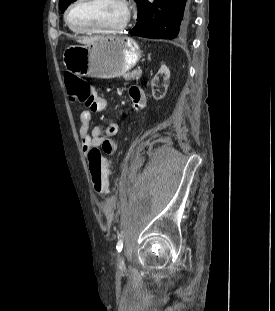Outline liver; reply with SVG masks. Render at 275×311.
Wrapping results in <instances>:
<instances>
[{
  "label": "liver",
  "instance_id": "liver-1",
  "mask_svg": "<svg viewBox=\"0 0 275 311\" xmlns=\"http://www.w3.org/2000/svg\"><path fill=\"white\" fill-rule=\"evenodd\" d=\"M100 37H93V38H90V39H85V40H82L81 42L85 43V44H88V43H91L97 39H99Z\"/></svg>",
  "mask_w": 275,
  "mask_h": 311
}]
</instances>
